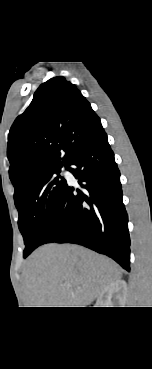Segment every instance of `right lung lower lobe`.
Returning <instances> with one entry per match:
<instances>
[{
    "mask_svg": "<svg viewBox=\"0 0 152 369\" xmlns=\"http://www.w3.org/2000/svg\"><path fill=\"white\" fill-rule=\"evenodd\" d=\"M67 169L82 190L66 185L42 244L83 245L130 271L128 216L122 202L120 172L104 129L75 152Z\"/></svg>",
    "mask_w": 152,
    "mask_h": 369,
    "instance_id": "obj_1",
    "label": "right lung lower lobe"
}]
</instances>
